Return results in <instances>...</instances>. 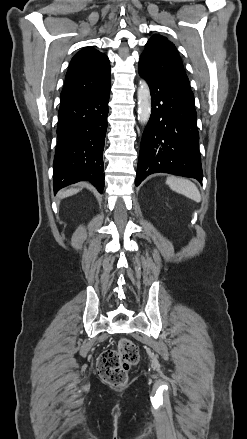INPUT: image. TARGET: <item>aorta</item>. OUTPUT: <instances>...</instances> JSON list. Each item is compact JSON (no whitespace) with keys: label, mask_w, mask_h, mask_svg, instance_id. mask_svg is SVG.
Wrapping results in <instances>:
<instances>
[{"label":"aorta","mask_w":247,"mask_h":439,"mask_svg":"<svg viewBox=\"0 0 247 439\" xmlns=\"http://www.w3.org/2000/svg\"><path fill=\"white\" fill-rule=\"evenodd\" d=\"M137 99L138 119L141 124H146L149 121L151 115V94L149 86L144 80H141L139 82Z\"/></svg>","instance_id":"aorta-1"}]
</instances>
